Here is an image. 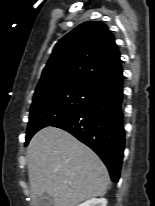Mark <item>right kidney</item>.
I'll use <instances>...</instances> for the list:
<instances>
[{
	"label": "right kidney",
	"mask_w": 155,
	"mask_h": 206,
	"mask_svg": "<svg viewBox=\"0 0 155 206\" xmlns=\"http://www.w3.org/2000/svg\"><path fill=\"white\" fill-rule=\"evenodd\" d=\"M77 206H107V200L105 198H93Z\"/></svg>",
	"instance_id": "right-kidney-1"
}]
</instances>
